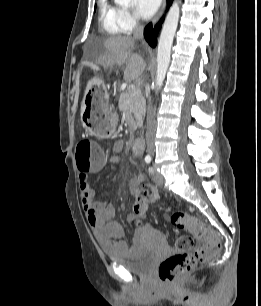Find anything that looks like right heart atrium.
Here are the masks:
<instances>
[{"label": "right heart atrium", "mask_w": 261, "mask_h": 306, "mask_svg": "<svg viewBox=\"0 0 261 306\" xmlns=\"http://www.w3.org/2000/svg\"><path fill=\"white\" fill-rule=\"evenodd\" d=\"M120 22L126 31L135 29L138 25V20L134 13L127 8L120 9Z\"/></svg>", "instance_id": "right-heart-atrium-1"}]
</instances>
